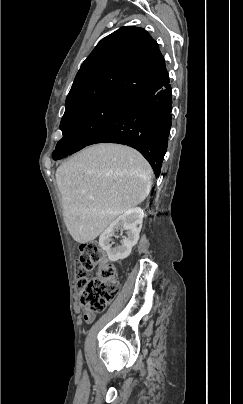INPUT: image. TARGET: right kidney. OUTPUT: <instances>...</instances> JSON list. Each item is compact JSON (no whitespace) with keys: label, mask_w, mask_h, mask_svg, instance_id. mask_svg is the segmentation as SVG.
Returning <instances> with one entry per match:
<instances>
[{"label":"right kidney","mask_w":243,"mask_h":404,"mask_svg":"<svg viewBox=\"0 0 243 404\" xmlns=\"http://www.w3.org/2000/svg\"><path fill=\"white\" fill-rule=\"evenodd\" d=\"M143 218L144 212L142 208H132V210L124 212L123 216L116 218V220L110 224L109 228L101 234L99 246L105 250L111 262L124 260V258H128L129 254H131L133 246H136L139 240ZM118 230H120V232L127 230L126 238L122 240L121 246L112 248L113 244H110V242H112L111 238Z\"/></svg>","instance_id":"ca27d5eb"}]
</instances>
